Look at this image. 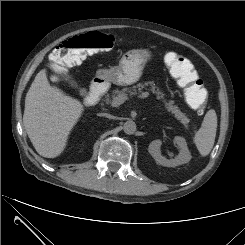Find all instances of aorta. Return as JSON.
Here are the masks:
<instances>
[{"label": "aorta", "mask_w": 245, "mask_h": 245, "mask_svg": "<svg viewBox=\"0 0 245 245\" xmlns=\"http://www.w3.org/2000/svg\"><path fill=\"white\" fill-rule=\"evenodd\" d=\"M123 130L126 134H134L136 132V123L132 120H128L123 125Z\"/></svg>", "instance_id": "obj_1"}]
</instances>
